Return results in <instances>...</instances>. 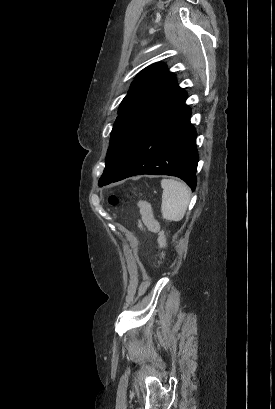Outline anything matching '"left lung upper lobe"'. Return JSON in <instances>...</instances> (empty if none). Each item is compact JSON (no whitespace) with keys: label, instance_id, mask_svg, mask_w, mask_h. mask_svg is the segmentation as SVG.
Masks as SVG:
<instances>
[{"label":"left lung upper lobe","instance_id":"obj_1","mask_svg":"<svg viewBox=\"0 0 275 409\" xmlns=\"http://www.w3.org/2000/svg\"><path fill=\"white\" fill-rule=\"evenodd\" d=\"M186 96L163 63L152 64L136 76L118 110L100 187L114 180L145 132Z\"/></svg>","mask_w":275,"mask_h":409}]
</instances>
